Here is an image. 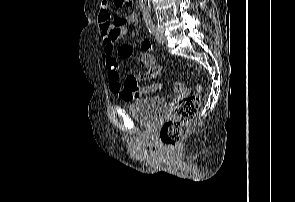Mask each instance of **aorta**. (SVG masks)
Here are the masks:
<instances>
[{
  "instance_id": "obj_1",
  "label": "aorta",
  "mask_w": 295,
  "mask_h": 202,
  "mask_svg": "<svg viewBox=\"0 0 295 202\" xmlns=\"http://www.w3.org/2000/svg\"><path fill=\"white\" fill-rule=\"evenodd\" d=\"M142 13H143V18L144 19H150L151 17V9H150V0H139Z\"/></svg>"
}]
</instances>
